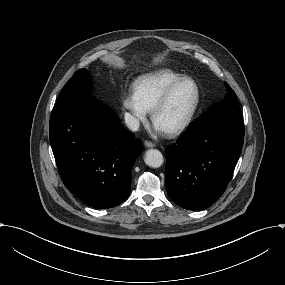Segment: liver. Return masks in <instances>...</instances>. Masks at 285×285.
Here are the masks:
<instances>
[{"mask_svg":"<svg viewBox=\"0 0 285 285\" xmlns=\"http://www.w3.org/2000/svg\"><path fill=\"white\" fill-rule=\"evenodd\" d=\"M104 62H108L109 64H115V61L113 60V55L105 56L102 58Z\"/></svg>","mask_w":285,"mask_h":285,"instance_id":"liver-1","label":"liver"}]
</instances>
